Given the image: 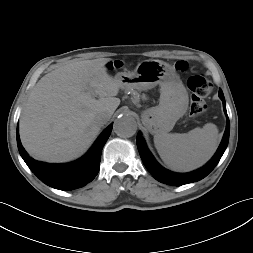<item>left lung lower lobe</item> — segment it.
Listing matches in <instances>:
<instances>
[{"label": "left lung lower lobe", "instance_id": "1", "mask_svg": "<svg viewBox=\"0 0 253 253\" xmlns=\"http://www.w3.org/2000/svg\"><path fill=\"white\" fill-rule=\"evenodd\" d=\"M219 97L221 98L223 102V109L227 116L226 106H225V99L222 90H219ZM229 133H230V122L229 118L227 116V124H226V130L222 139V142L215 153V155L212 157V159L203 167L200 169H197L190 173H174L171 172L165 168H163L152 156L150 151L147 149L144 139L139 132L137 134V147L139 154L141 156V159L145 165V167L148 169V171L153 175V177L168 185L173 186H180L192 182L199 181L206 177L218 164L219 160L221 159L225 149L227 148L228 141H229Z\"/></svg>", "mask_w": 253, "mask_h": 253}]
</instances>
